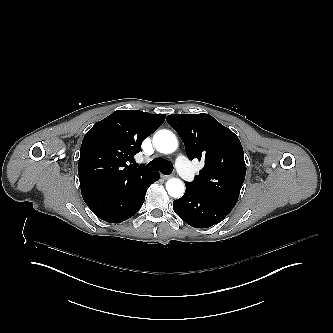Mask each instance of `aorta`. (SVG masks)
<instances>
[{"label": "aorta", "instance_id": "762f6f07", "mask_svg": "<svg viewBox=\"0 0 333 333\" xmlns=\"http://www.w3.org/2000/svg\"><path fill=\"white\" fill-rule=\"evenodd\" d=\"M153 143L159 152L165 154L174 152L178 146L175 135L168 130L156 132L153 137ZM166 189L171 197L178 198L183 195L185 187L180 179L172 178L167 181Z\"/></svg>", "mask_w": 333, "mask_h": 333}]
</instances>
